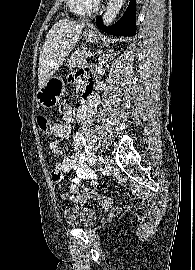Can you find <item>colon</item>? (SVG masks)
I'll return each instance as SVG.
<instances>
[{
    "label": "colon",
    "instance_id": "1",
    "mask_svg": "<svg viewBox=\"0 0 195 270\" xmlns=\"http://www.w3.org/2000/svg\"><path fill=\"white\" fill-rule=\"evenodd\" d=\"M37 124L40 128V130L47 135H50L53 133L54 127H55V122L46 116L40 115L37 117ZM80 193L83 196H86L88 198H91L93 200H96L100 203H102L103 205H111L113 203L112 199L106 196H100L96 193H94L93 191H90L88 189H82L80 190Z\"/></svg>",
    "mask_w": 195,
    "mask_h": 270
}]
</instances>
